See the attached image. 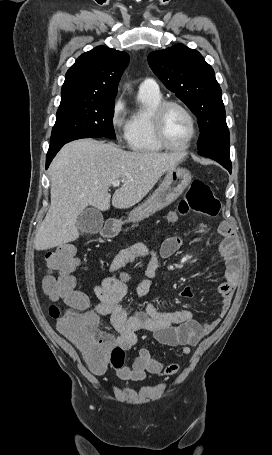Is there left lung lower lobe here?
<instances>
[{
  "label": "left lung lower lobe",
  "instance_id": "left-lung-lower-lobe-1",
  "mask_svg": "<svg viewBox=\"0 0 272 455\" xmlns=\"http://www.w3.org/2000/svg\"><path fill=\"white\" fill-rule=\"evenodd\" d=\"M198 153L217 161L231 173L230 144H221Z\"/></svg>",
  "mask_w": 272,
  "mask_h": 455
}]
</instances>
